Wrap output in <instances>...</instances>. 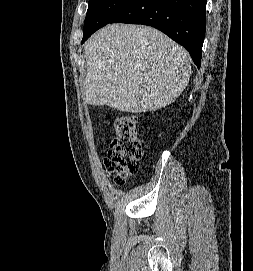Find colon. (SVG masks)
I'll return each mask as SVG.
<instances>
[{
  "label": "colon",
  "instance_id": "5ec220e1",
  "mask_svg": "<svg viewBox=\"0 0 253 271\" xmlns=\"http://www.w3.org/2000/svg\"><path fill=\"white\" fill-rule=\"evenodd\" d=\"M137 119L123 115L114 119V137L110 142L104 165L118 185L139 170L142 157V140L137 131Z\"/></svg>",
  "mask_w": 253,
  "mask_h": 271
}]
</instances>
